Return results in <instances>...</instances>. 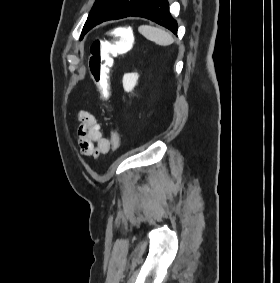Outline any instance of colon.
<instances>
[{"mask_svg":"<svg viewBox=\"0 0 280 283\" xmlns=\"http://www.w3.org/2000/svg\"><path fill=\"white\" fill-rule=\"evenodd\" d=\"M133 25H118L109 31L113 37H107L106 41L96 39L90 46L89 70L102 98L107 99L110 95V69L113 64V55H126L127 51L134 46L136 38ZM120 139L114 140V146L118 148Z\"/></svg>","mask_w":280,"mask_h":283,"instance_id":"obj_1","label":"colon"}]
</instances>
